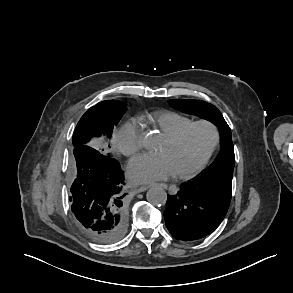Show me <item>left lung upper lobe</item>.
<instances>
[{
  "instance_id": "left-lung-upper-lobe-1",
  "label": "left lung upper lobe",
  "mask_w": 293,
  "mask_h": 293,
  "mask_svg": "<svg viewBox=\"0 0 293 293\" xmlns=\"http://www.w3.org/2000/svg\"><path fill=\"white\" fill-rule=\"evenodd\" d=\"M168 103L171 107L181 112L204 118L214 123L220 132L221 151L213 164L200 176L204 178L233 177L235 164L234 148L232 144L231 130L220 111L212 104L201 100L172 99Z\"/></svg>"
}]
</instances>
